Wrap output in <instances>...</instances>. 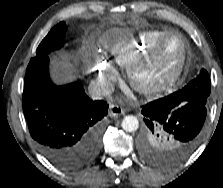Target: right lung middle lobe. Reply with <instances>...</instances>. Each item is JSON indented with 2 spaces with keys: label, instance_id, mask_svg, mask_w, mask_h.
<instances>
[{
  "label": "right lung middle lobe",
  "instance_id": "1",
  "mask_svg": "<svg viewBox=\"0 0 223 188\" xmlns=\"http://www.w3.org/2000/svg\"><path fill=\"white\" fill-rule=\"evenodd\" d=\"M64 22H60L48 33L42 40L36 50L35 57H41L49 54L51 51L61 48L64 45V31L66 30Z\"/></svg>",
  "mask_w": 223,
  "mask_h": 188
}]
</instances>
